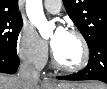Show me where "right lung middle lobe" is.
Listing matches in <instances>:
<instances>
[{"label":"right lung middle lobe","instance_id":"1","mask_svg":"<svg viewBox=\"0 0 107 89\" xmlns=\"http://www.w3.org/2000/svg\"><path fill=\"white\" fill-rule=\"evenodd\" d=\"M22 18L0 16V51L16 55V43L22 28Z\"/></svg>","mask_w":107,"mask_h":89}]
</instances>
